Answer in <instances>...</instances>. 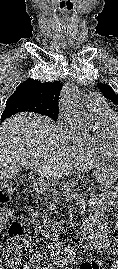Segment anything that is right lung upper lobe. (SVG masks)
I'll return each instance as SVG.
<instances>
[{
	"instance_id": "right-lung-upper-lobe-1",
	"label": "right lung upper lobe",
	"mask_w": 118,
	"mask_h": 269,
	"mask_svg": "<svg viewBox=\"0 0 118 269\" xmlns=\"http://www.w3.org/2000/svg\"><path fill=\"white\" fill-rule=\"evenodd\" d=\"M62 83L60 81L44 82L29 79L21 83L12 95L26 96L46 106H58Z\"/></svg>"
}]
</instances>
